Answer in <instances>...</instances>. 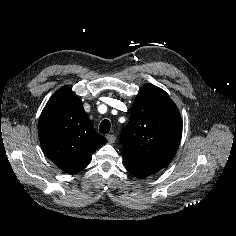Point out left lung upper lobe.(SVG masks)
I'll return each instance as SVG.
<instances>
[{
    "label": "left lung upper lobe",
    "mask_w": 236,
    "mask_h": 236,
    "mask_svg": "<svg viewBox=\"0 0 236 236\" xmlns=\"http://www.w3.org/2000/svg\"><path fill=\"white\" fill-rule=\"evenodd\" d=\"M182 136V119L169 95L145 84L131 109L130 121L120 135L122 153L166 167Z\"/></svg>",
    "instance_id": "obj_1"
}]
</instances>
